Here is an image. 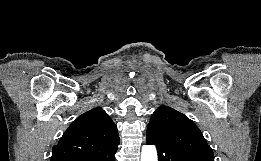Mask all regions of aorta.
Masks as SVG:
<instances>
[{"label":"aorta","instance_id":"obj_1","mask_svg":"<svg viewBox=\"0 0 261 161\" xmlns=\"http://www.w3.org/2000/svg\"><path fill=\"white\" fill-rule=\"evenodd\" d=\"M141 161H157V151L154 145H143Z\"/></svg>","mask_w":261,"mask_h":161}]
</instances>
